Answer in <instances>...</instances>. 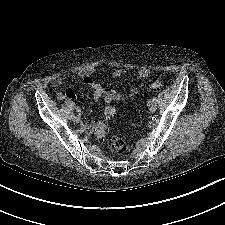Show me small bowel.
<instances>
[{"label": "small bowel", "instance_id": "obj_1", "mask_svg": "<svg viewBox=\"0 0 225 225\" xmlns=\"http://www.w3.org/2000/svg\"><path fill=\"white\" fill-rule=\"evenodd\" d=\"M126 73L125 70L116 69L108 71L105 69H95L86 70L79 74L84 84L93 88V98L94 100H99L102 96H105V101L111 103L113 101H124L126 99H133L142 87V83L150 76L151 72L147 69H141L137 73L139 83L132 87L127 94L119 93L111 88H104L99 83L94 81L91 77L92 74H106L113 78H119ZM65 77H58L53 82V89L55 91L61 90L59 97H66L69 99H76V94L71 88H64ZM94 124L92 122H87L84 128L87 132L92 131Z\"/></svg>", "mask_w": 225, "mask_h": 225}]
</instances>
